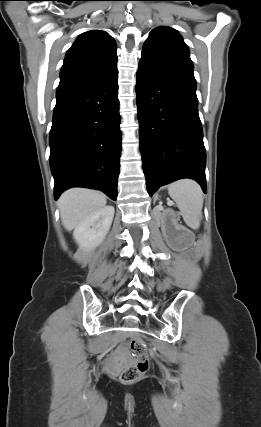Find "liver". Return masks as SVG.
Masks as SVG:
<instances>
[{
    "instance_id": "obj_1",
    "label": "liver",
    "mask_w": 261,
    "mask_h": 427,
    "mask_svg": "<svg viewBox=\"0 0 261 427\" xmlns=\"http://www.w3.org/2000/svg\"><path fill=\"white\" fill-rule=\"evenodd\" d=\"M105 205V194L85 188L69 189L58 200L61 220L68 231L75 229Z\"/></svg>"
}]
</instances>
